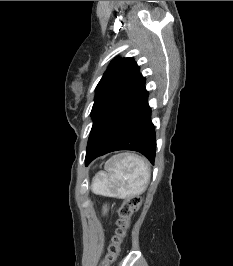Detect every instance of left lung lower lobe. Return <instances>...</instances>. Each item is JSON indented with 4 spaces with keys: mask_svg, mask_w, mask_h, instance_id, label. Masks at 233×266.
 Returning a JSON list of instances; mask_svg holds the SVG:
<instances>
[{
    "mask_svg": "<svg viewBox=\"0 0 233 266\" xmlns=\"http://www.w3.org/2000/svg\"><path fill=\"white\" fill-rule=\"evenodd\" d=\"M145 78L140 74L105 109L90 134L85 162L117 150L142 153L154 164L155 127L147 102Z\"/></svg>",
    "mask_w": 233,
    "mask_h": 266,
    "instance_id": "0a47b994",
    "label": "left lung lower lobe"
}]
</instances>
